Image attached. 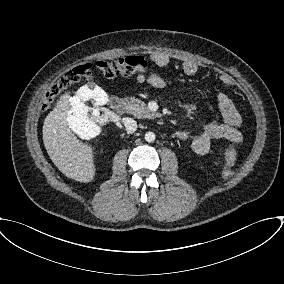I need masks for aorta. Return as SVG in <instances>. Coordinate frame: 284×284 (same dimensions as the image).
<instances>
[{
	"instance_id": "obj_1",
	"label": "aorta",
	"mask_w": 284,
	"mask_h": 284,
	"mask_svg": "<svg viewBox=\"0 0 284 284\" xmlns=\"http://www.w3.org/2000/svg\"><path fill=\"white\" fill-rule=\"evenodd\" d=\"M155 133L154 132H147L146 134H145V140L147 141V142H149V143H151V142H154L155 141Z\"/></svg>"
}]
</instances>
